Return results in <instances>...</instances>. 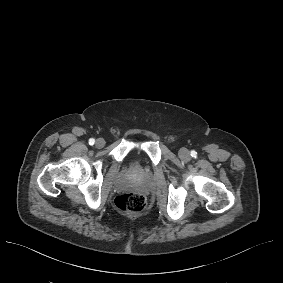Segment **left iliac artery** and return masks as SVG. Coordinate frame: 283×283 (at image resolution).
<instances>
[{
    "mask_svg": "<svg viewBox=\"0 0 283 283\" xmlns=\"http://www.w3.org/2000/svg\"><path fill=\"white\" fill-rule=\"evenodd\" d=\"M197 152H195L194 150L191 151V156L196 158Z\"/></svg>",
    "mask_w": 283,
    "mask_h": 283,
    "instance_id": "left-iliac-artery-1",
    "label": "left iliac artery"
}]
</instances>
